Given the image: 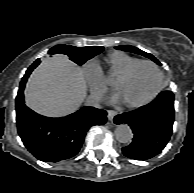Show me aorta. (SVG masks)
<instances>
[{
  "instance_id": "1",
  "label": "aorta",
  "mask_w": 194,
  "mask_h": 193,
  "mask_svg": "<svg viewBox=\"0 0 194 193\" xmlns=\"http://www.w3.org/2000/svg\"><path fill=\"white\" fill-rule=\"evenodd\" d=\"M115 137L120 143H128L133 138V132L129 125L120 124L115 129Z\"/></svg>"
}]
</instances>
